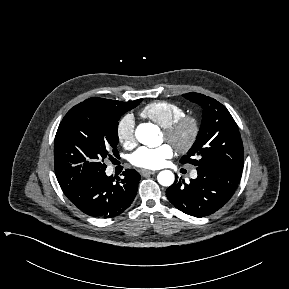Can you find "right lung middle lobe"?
<instances>
[{
  "instance_id": "obj_1",
  "label": "right lung middle lobe",
  "mask_w": 289,
  "mask_h": 289,
  "mask_svg": "<svg viewBox=\"0 0 289 289\" xmlns=\"http://www.w3.org/2000/svg\"><path fill=\"white\" fill-rule=\"evenodd\" d=\"M141 101L118 108L80 103L67 112L54 140L55 174L63 191L105 172L109 152L118 155V120Z\"/></svg>"
}]
</instances>
